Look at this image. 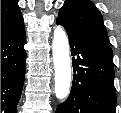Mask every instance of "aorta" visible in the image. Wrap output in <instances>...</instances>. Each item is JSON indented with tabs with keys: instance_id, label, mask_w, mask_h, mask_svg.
<instances>
[{
	"instance_id": "762f6f07",
	"label": "aorta",
	"mask_w": 121,
	"mask_h": 113,
	"mask_svg": "<svg viewBox=\"0 0 121 113\" xmlns=\"http://www.w3.org/2000/svg\"><path fill=\"white\" fill-rule=\"evenodd\" d=\"M52 53L55 69V94L58 99L64 100L70 92L71 64L68 38L61 26H57L54 30Z\"/></svg>"
}]
</instances>
